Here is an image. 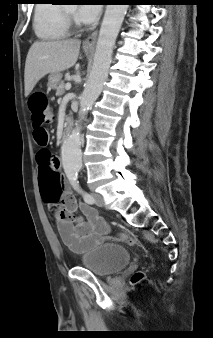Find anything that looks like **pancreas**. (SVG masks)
I'll return each instance as SVG.
<instances>
[{
  "label": "pancreas",
  "instance_id": "obj_1",
  "mask_svg": "<svg viewBox=\"0 0 213 338\" xmlns=\"http://www.w3.org/2000/svg\"><path fill=\"white\" fill-rule=\"evenodd\" d=\"M65 93V83L61 81L56 88V96H62Z\"/></svg>",
  "mask_w": 213,
  "mask_h": 338
}]
</instances>
